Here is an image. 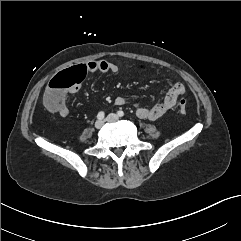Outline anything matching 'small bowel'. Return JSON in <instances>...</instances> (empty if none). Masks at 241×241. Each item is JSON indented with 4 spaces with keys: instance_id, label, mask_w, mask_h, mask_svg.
<instances>
[{
    "instance_id": "c3829d8e",
    "label": "small bowel",
    "mask_w": 241,
    "mask_h": 241,
    "mask_svg": "<svg viewBox=\"0 0 241 241\" xmlns=\"http://www.w3.org/2000/svg\"><path fill=\"white\" fill-rule=\"evenodd\" d=\"M88 72H101V73H110L116 74L119 71V67L109 61L101 60V61H90L83 64ZM79 90V86H75L67 93L74 94ZM67 93H65L62 97L61 102L56 105L53 109H49L53 113H57L61 117H68L70 111L65 104ZM185 93V87L182 83L177 82L172 85V87L166 93L164 99L155 104L152 107H144L140 104H137V115L142 119L148 120H156L162 117L165 113L171 110L178 100V98ZM127 103V99L123 96H117L114 99V104L116 106H123Z\"/></svg>"
}]
</instances>
